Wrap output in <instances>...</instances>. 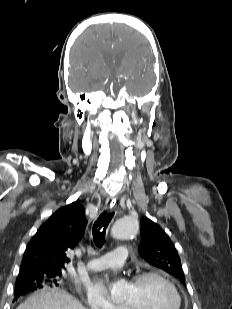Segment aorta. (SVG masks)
<instances>
[{
	"instance_id": "1",
	"label": "aorta",
	"mask_w": 232,
	"mask_h": 309,
	"mask_svg": "<svg viewBox=\"0 0 232 309\" xmlns=\"http://www.w3.org/2000/svg\"><path fill=\"white\" fill-rule=\"evenodd\" d=\"M138 232V223L130 218H121L114 223L112 235L119 240L134 237ZM126 282L123 280L112 284L111 298L113 301H121L124 298Z\"/></svg>"
}]
</instances>
